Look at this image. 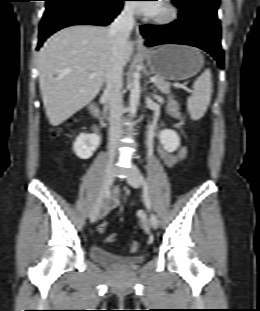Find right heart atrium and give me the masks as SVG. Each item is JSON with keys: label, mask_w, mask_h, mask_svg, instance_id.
<instances>
[{"label": "right heart atrium", "mask_w": 260, "mask_h": 311, "mask_svg": "<svg viewBox=\"0 0 260 311\" xmlns=\"http://www.w3.org/2000/svg\"><path fill=\"white\" fill-rule=\"evenodd\" d=\"M123 13L126 14L127 16H132L133 15V9L130 6H125L123 8Z\"/></svg>", "instance_id": "obj_1"}]
</instances>
